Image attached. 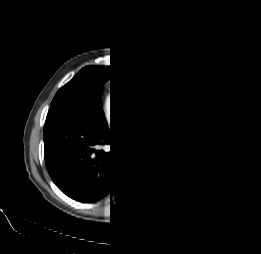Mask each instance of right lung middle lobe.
I'll use <instances>...</instances> for the list:
<instances>
[{
	"label": "right lung middle lobe",
	"instance_id": "right-lung-middle-lobe-1",
	"mask_svg": "<svg viewBox=\"0 0 261 254\" xmlns=\"http://www.w3.org/2000/svg\"><path fill=\"white\" fill-rule=\"evenodd\" d=\"M114 68L87 66L54 96L48 114H72L96 129L107 130L101 92Z\"/></svg>",
	"mask_w": 261,
	"mask_h": 254
}]
</instances>
